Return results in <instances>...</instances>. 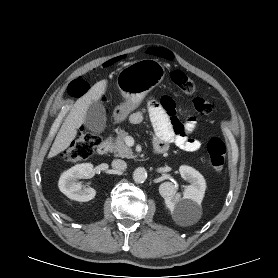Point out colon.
<instances>
[{"label":"colon","instance_id":"obj_1","mask_svg":"<svg viewBox=\"0 0 278 278\" xmlns=\"http://www.w3.org/2000/svg\"><path fill=\"white\" fill-rule=\"evenodd\" d=\"M171 80L182 92L191 96V103L196 113L203 115L211 112L212 104L196 94L195 83L183 71H173ZM88 90V82L79 78L69 84L67 92L72 97H81ZM97 144V136L90 133H83L63 152V157L70 162L87 159L92 155ZM207 152L214 170L217 172L222 171L226 162V147L224 142L216 137L211 138L207 144Z\"/></svg>","mask_w":278,"mask_h":278}]
</instances>
